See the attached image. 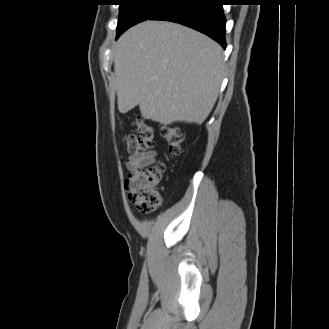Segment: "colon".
Here are the masks:
<instances>
[{"mask_svg":"<svg viewBox=\"0 0 329 329\" xmlns=\"http://www.w3.org/2000/svg\"><path fill=\"white\" fill-rule=\"evenodd\" d=\"M137 133L124 137V143L129 152H144L154 145V128L146 124L142 119L134 121ZM162 135L167 145L168 155L178 156L182 152L183 136L175 126L162 128ZM165 171V164L159 162L146 168L134 169L125 181V190L129 200L136 204L142 212H150L161 205V196L157 186Z\"/></svg>","mask_w":329,"mask_h":329,"instance_id":"obj_1","label":"colon"}]
</instances>
